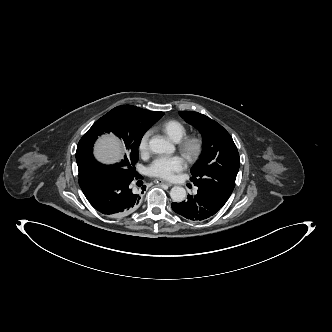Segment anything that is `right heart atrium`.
<instances>
[{
  "label": "right heart atrium",
  "instance_id": "d8ad5b80",
  "mask_svg": "<svg viewBox=\"0 0 332 332\" xmlns=\"http://www.w3.org/2000/svg\"><path fill=\"white\" fill-rule=\"evenodd\" d=\"M149 137L150 131H147L143 134L139 141V151L141 154H146L149 150Z\"/></svg>",
  "mask_w": 332,
  "mask_h": 332
}]
</instances>
